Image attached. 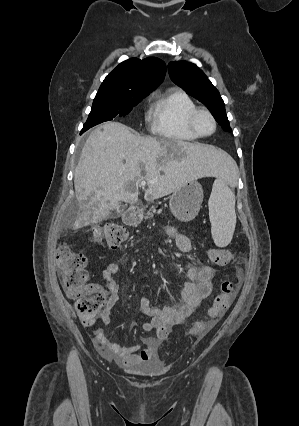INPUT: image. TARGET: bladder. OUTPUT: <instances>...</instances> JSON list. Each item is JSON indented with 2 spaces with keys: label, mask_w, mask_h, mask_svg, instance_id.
I'll return each mask as SVG.
<instances>
[{
  "label": "bladder",
  "mask_w": 299,
  "mask_h": 426,
  "mask_svg": "<svg viewBox=\"0 0 299 426\" xmlns=\"http://www.w3.org/2000/svg\"><path fill=\"white\" fill-rule=\"evenodd\" d=\"M130 374L145 377L154 378L163 374L164 367L159 363H141L135 366L126 367Z\"/></svg>",
  "instance_id": "31cf9c89"
}]
</instances>
